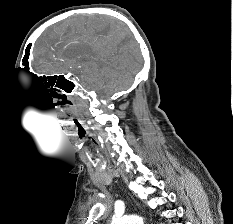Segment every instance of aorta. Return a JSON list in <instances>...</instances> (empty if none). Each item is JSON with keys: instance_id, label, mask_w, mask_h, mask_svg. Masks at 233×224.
<instances>
[{"instance_id": "762f6f07", "label": "aorta", "mask_w": 233, "mask_h": 224, "mask_svg": "<svg viewBox=\"0 0 233 224\" xmlns=\"http://www.w3.org/2000/svg\"><path fill=\"white\" fill-rule=\"evenodd\" d=\"M111 224H143L142 219L136 215L114 217Z\"/></svg>"}]
</instances>
